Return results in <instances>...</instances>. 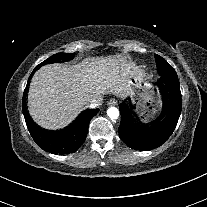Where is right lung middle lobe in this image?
<instances>
[{
  "label": "right lung middle lobe",
  "instance_id": "right-lung-middle-lobe-1",
  "mask_svg": "<svg viewBox=\"0 0 207 207\" xmlns=\"http://www.w3.org/2000/svg\"><path fill=\"white\" fill-rule=\"evenodd\" d=\"M72 55H73L72 53L54 54L53 56H51L50 58H48L44 62H42L40 65L45 64V63H49V62H53V61L65 60V59L70 58Z\"/></svg>",
  "mask_w": 207,
  "mask_h": 207
}]
</instances>
